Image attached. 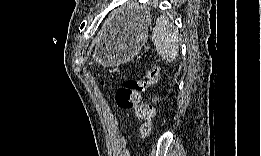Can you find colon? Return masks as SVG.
I'll use <instances>...</instances> for the list:
<instances>
[{
	"label": "colon",
	"instance_id": "1",
	"mask_svg": "<svg viewBox=\"0 0 261 156\" xmlns=\"http://www.w3.org/2000/svg\"><path fill=\"white\" fill-rule=\"evenodd\" d=\"M159 74V66L154 65L142 77L126 80L115 93V101L119 108L134 110L140 122L139 139H143L151 133L154 116L152 105L142 101V94L157 83Z\"/></svg>",
	"mask_w": 261,
	"mask_h": 156
}]
</instances>
